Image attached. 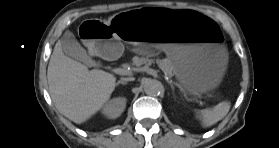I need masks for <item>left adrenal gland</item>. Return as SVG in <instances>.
Here are the masks:
<instances>
[{
  "label": "left adrenal gland",
  "instance_id": "a2214340",
  "mask_svg": "<svg viewBox=\"0 0 279 148\" xmlns=\"http://www.w3.org/2000/svg\"><path fill=\"white\" fill-rule=\"evenodd\" d=\"M171 88H172V90H173V95H174V86H173V85H171Z\"/></svg>",
  "mask_w": 279,
  "mask_h": 148
}]
</instances>
